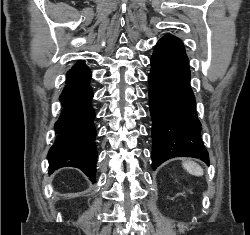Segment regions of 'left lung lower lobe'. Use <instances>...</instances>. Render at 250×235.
Masks as SVG:
<instances>
[{"instance_id": "left-lung-lower-lobe-1", "label": "left lung lower lobe", "mask_w": 250, "mask_h": 235, "mask_svg": "<svg viewBox=\"0 0 250 235\" xmlns=\"http://www.w3.org/2000/svg\"><path fill=\"white\" fill-rule=\"evenodd\" d=\"M190 78L183 43L172 35L161 38L151 57L148 77L154 170L173 157H194L209 164Z\"/></svg>"}]
</instances>
